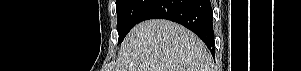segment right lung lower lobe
<instances>
[{"instance_id": "right-lung-lower-lobe-1", "label": "right lung lower lobe", "mask_w": 301, "mask_h": 71, "mask_svg": "<svg viewBox=\"0 0 301 71\" xmlns=\"http://www.w3.org/2000/svg\"><path fill=\"white\" fill-rule=\"evenodd\" d=\"M154 18L171 20L190 29L214 56L213 13L209 0H155L140 22Z\"/></svg>"}]
</instances>
